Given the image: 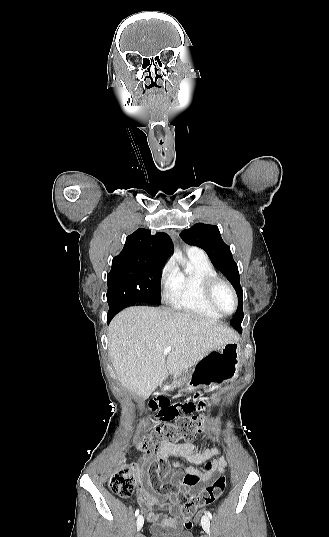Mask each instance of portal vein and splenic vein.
Here are the masks:
<instances>
[{
  "instance_id": "1",
  "label": "portal vein and splenic vein",
  "mask_w": 329,
  "mask_h": 537,
  "mask_svg": "<svg viewBox=\"0 0 329 537\" xmlns=\"http://www.w3.org/2000/svg\"><path fill=\"white\" fill-rule=\"evenodd\" d=\"M170 351H171V347L168 346V347H166V349L164 350V353H163V354H164V355H167Z\"/></svg>"
}]
</instances>
